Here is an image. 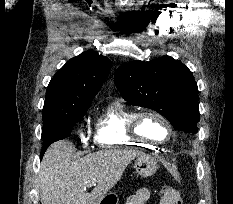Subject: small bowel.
Instances as JSON below:
<instances>
[{"label":"small bowel","instance_id":"c3829d8e","mask_svg":"<svg viewBox=\"0 0 233 204\" xmlns=\"http://www.w3.org/2000/svg\"><path fill=\"white\" fill-rule=\"evenodd\" d=\"M149 197L150 191L147 188H141L136 193L129 196L126 204H144L149 199Z\"/></svg>","mask_w":233,"mask_h":204}]
</instances>
